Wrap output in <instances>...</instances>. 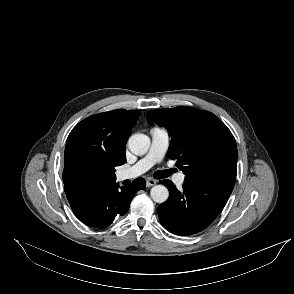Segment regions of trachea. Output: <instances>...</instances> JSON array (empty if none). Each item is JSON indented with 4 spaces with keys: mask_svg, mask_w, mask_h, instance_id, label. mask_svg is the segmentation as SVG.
Masks as SVG:
<instances>
[{
    "mask_svg": "<svg viewBox=\"0 0 294 294\" xmlns=\"http://www.w3.org/2000/svg\"><path fill=\"white\" fill-rule=\"evenodd\" d=\"M170 174H171L170 170H160V171L155 172L154 176L157 179H163V178L168 177Z\"/></svg>",
    "mask_w": 294,
    "mask_h": 294,
    "instance_id": "trachea-1",
    "label": "trachea"
}]
</instances>
